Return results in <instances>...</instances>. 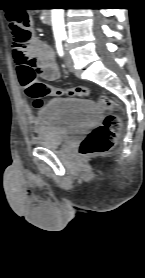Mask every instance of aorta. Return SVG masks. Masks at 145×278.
Wrapping results in <instances>:
<instances>
[{
	"mask_svg": "<svg viewBox=\"0 0 145 278\" xmlns=\"http://www.w3.org/2000/svg\"><path fill=\"white\" fill-rule=\"evenodd\" d=\"M52 26L56 37H64L66 35L64 25V9H52Z\"/></svg>",
	"mask_w": 145,
	"mask_h": 278,
	"instance_id": "aorta-1",
	"label": "aorta"
}]
</instances>
